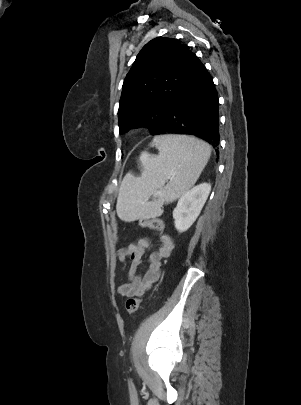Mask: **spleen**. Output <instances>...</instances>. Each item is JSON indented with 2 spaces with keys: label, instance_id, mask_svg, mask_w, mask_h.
Returning <instances> with one entry per match:
<instances>
[{
  "label": "spleen",
  "instance_id": "1",
  "mask_svg": "<svg viewBox=\"0 0 301 405\" xmlns=\"http://www.w3.org/2000/svg\"><path fill=\"white\" fill-rule=\"evenodd\" d=\"M151 146L159 153H141V176L127 174L121 183L116 205L121 220L159 216L164 202L176 200L195 184L211 155L206 142L184 135L156 136ZM157 189L160 199L148 202Z\"/></svg>",
  "mask_w": 301,
  "mask_h": 405
}]
</instances>
